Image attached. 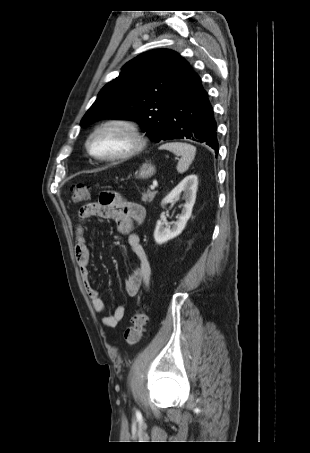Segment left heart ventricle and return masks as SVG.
<instances>
[{"instance_id": "1", "label": "left heart ventricle", "mask_w": 310, "mask_h": 453, "mask_svg": "<svg viewBox=\"0 0 310 453\" xmlns=\"http://www.w3.org/2000/svg\"><path fill=\"white\" fill-rule=\"evenodd\" d=\"M132 145L129 135L118 128L108 129L96 135L91 141L92 150L102 156L113 155L129 149Z\"/></svg>"}]
</instances>
